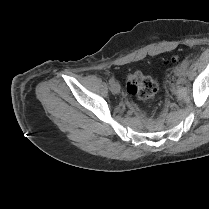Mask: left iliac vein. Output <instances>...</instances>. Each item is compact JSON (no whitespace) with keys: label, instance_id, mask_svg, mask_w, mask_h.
Instances as JSON below:
<instances>
[{"label":"left iliac vein","instance_id":"obj_1","mask_svg":"<svg viewBox=\"0 0 209 209\" xmlns=\"http://www.w3.org/2000/svg\"><path fill=\"white\" fill-rule=\"evenodd\" d=\"M186 69L183 68L182 64L175 68V74L177 76H182Z\"/></svg>","mask_w":209,"mask_h":209}]
</instances>
